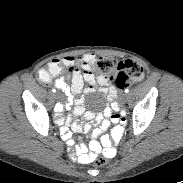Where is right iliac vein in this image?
<instances>
[{
    "label": "right iliac vein",
    "instance_id": "63e3f726",
    "mask_svg": "<svg viewBox=\"0 0 183 183\" xmlns=\"http://www.w3.org/2000/svg\"><path fill=\"white\" fill-rule=\"evenodd\" d=\"M55 97H56L57 99H59V98H61V94H60L59 92H57V93L55 94Z\"/></svg>",
    "mask_w": 183,
    "mask_h": 183
}]
</instances>
